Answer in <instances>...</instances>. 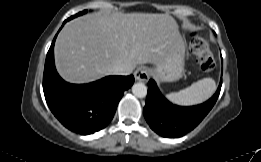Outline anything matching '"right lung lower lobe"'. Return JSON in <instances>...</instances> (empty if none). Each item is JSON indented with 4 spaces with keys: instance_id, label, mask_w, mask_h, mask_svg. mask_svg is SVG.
Segmentation results:
<instances>
[{
    "instance_id": "right-lung-lower-lobe-1",
    "label": "right lung lower lobe",
    "mask_w": 261,
    "mask_h": 162,
    "mask_svg": "<svg viewBox=\"0 0 261 162\" xmlns=\"http://www.w3.org/2000/svg\"><path fill=\"white\" fill-rule=\"evenodd\" d=\"M76 17L65 20L64 24ZM47 53L43 91L46 102L60 123L72 132L87 135L105 128L112 120L124 91L134 83V76H108L89 84L65 82L54 64V43Z\"/></svg>"
}]
</instances>
